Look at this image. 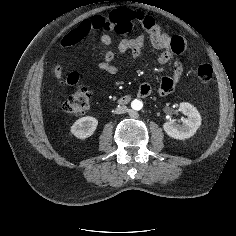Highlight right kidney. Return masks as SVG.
<instances>
[{
    "label": "right kidney",
    "mask_w": 236,
    "mask_h": 236,
    "mask_svg": "<svg viewBox=\"0 0 236 236\" xmlns=\"http://www.w3.org/2000/svg\"><path fill=\"white\" fill-rule=\"evenodd\" d=\"M98 125V120L92 116H86L78 119L71 126V133L78 139H86L93 135Z\"/></svg>",
    "instance_id": "1"
}]
</instances>
